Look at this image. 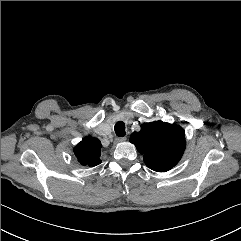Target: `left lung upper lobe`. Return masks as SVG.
Segmentation results:
<instances>
[{"mask_svg":"<svg viewBox=\"0 0 241 241\" xmlns=\"http://www.w3.org/2000/svg\"><path fill=\"white\" fill-rule=\"evenodd\" d=\"M146 166L157 172H165L174 167L185 150V132L176 124L155 121L141 125L139 132L130 137Z\"/></svg>","mask_w":241,"mask_h":241,"instance_id":"left-lung-upper-lobe-1","label":"left lung upper lobe"}]
</instances>
